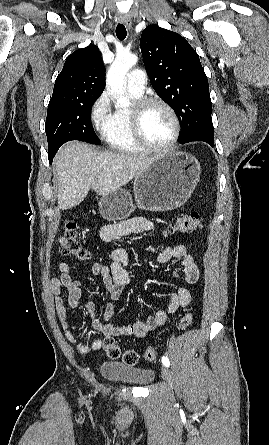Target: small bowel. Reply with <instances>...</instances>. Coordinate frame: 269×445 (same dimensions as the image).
<instances>
[{"mask_svg":"<svg viewBox=\"0 0 269 445\" xmlns=\"http://www.w3.org/2000/svg\"><path fill=\"white\" fill-rule=\"evenodd\" d=\"M152 223L144 217H133L128 220L116 224L105 225L100 230V238L104 242L111 241L118 237L129 234L148 231L152 228ZM171 260H180L183 266L184 279L188 284H195L199 280V269L188 253L187 248L183 244L174 247L164 248L158 255L160 263H167ZM130 258L125 249L118 248L112 251L111 261L109 264L94 263L89 272L92 275L101 276L104 286L108 292L111 301L118 300L121 292L132 282L129 273ZM60 276L52 278L50 281V289L54 295V302L57 315L61 322L62 328L68 341L74 344L80 353H88L97 351L102 348L101 340H94L89 345L77 343L74 331L75 326L68 318L66 303L76 308L79 305L82 296L81 281L73 277L72 268L66 262H61L58 266ZM63 288L67 290V296L63 292ZM191 302V294L187 288L181 287L170 294V301L165 310H158L154 315L150 316L144 322H136L132 325L118 327L109 321L114 315V307L109 302L104 311V321L96 319V304L93 300L86 302V310L92 321V327L106 336H122V337H144L157 327L162 326L169 314L176 312L178 309L187 307Z\"/></svg>","mask_w":269,"mask_h":445,"instance_id":"obj_1","label":"small bowel"}]
</instances>
